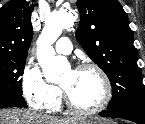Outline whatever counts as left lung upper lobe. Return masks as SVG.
I'll return each mask as SVG.
<instances>
[{"instance_id":"1","label":"left lung upper lobe","mask_w":145,"mask_h":124,"mask_svg":"<svg viewBox=\"0 0 145 124\" xmlns=\"http://www.w3.org/2000/svg\"><path fill=\"white\" fill-rule=\"evenodd\" d=\"M77 8L80 23L76 39L112 85V100L107 109L123 106L145 109L134 36L122 5L117 0H77Z\"/></svg>"}]
</instances>
